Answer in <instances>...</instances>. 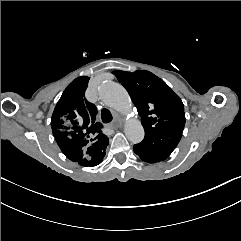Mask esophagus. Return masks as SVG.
<instances>
[{"instance_id":"1","label":"esophagus","mask_w":241,"mask_h":241,"mask_svg":"<svg viewBox=\"0 0 241 241\" xmlns=\"http://www.w3.org/2000/svg\"><path fill=\"white\" fill-rule=\"evenodd\" d=\"M111 126H112V128H118L119 122L116 120Z\"/></svg>"}]
</instances>
